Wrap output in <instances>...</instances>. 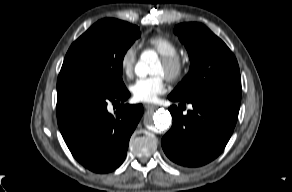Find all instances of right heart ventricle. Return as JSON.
Returning <instances> with one entry per match:
<instances>
[{"label":"right heart ventricle","instance_id":"e07e8e85","mask_svg":"<svg viewBox=\"0 0 292 192\" xmlns=\"http://www.w3.org/2000/svg\"><path fill=\"white\" fill-rule=\"evenodd\" d=\"M147 44L156 50L162 57H169L178 54L177 44L167 36H152L148 38Z\"/></svg>","mask_w":292,"mask_h":192}]
</instances>
